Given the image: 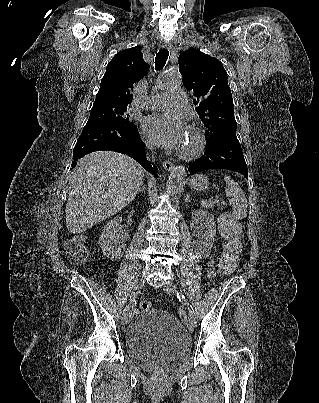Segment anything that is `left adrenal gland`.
Listing matches in <instances>:
<instances>
[{
  "label": "left adrenal gland",
  "mask_w": 319,
  "mask_h": 403,
  "mask_svg": "<svg viewBox=\"0 0 319 403\" xmlns=\"http://www.w3.org/2000/svg\"><path fill=\"white\" fill-rule=\"evenodd\" d=\"M190 202V196L189 194H187L186 199H185V203Z\"/></svg>",
  "instance_id": "1"
}]
</instances>
